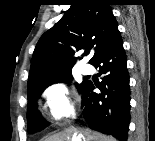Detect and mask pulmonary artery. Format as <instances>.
<instances>
[{"instance_id":"obj_1","label":"pulmonary artery","mask_w":155,"mask_h":141,"mask_svg":"<svg viewBox=\"0 0 155 141\" xmlns=\"http://www.w3.org/2000/svg\"><path fill=\"white\" fill-rule=\"evenodd\" d=\"M81 72L84 75L91 74L93 72V67L89 64H84L81 66Z\"/></svg>"}]
</instances>
